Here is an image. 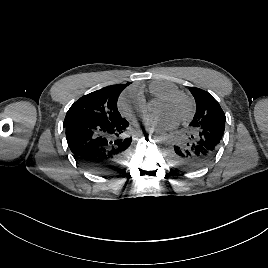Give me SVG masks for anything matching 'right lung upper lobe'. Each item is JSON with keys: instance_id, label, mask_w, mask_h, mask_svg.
<instances>
[{"instance_id": "1", "label": "right lung upper lobe", "mask_w": 268, "mask_h": 268, "mask_svg": "<svg viewBox=\"0 0 268 268\" xmlns=\"http://www.w3.org/2000/svg\"><path fill=\"white\" fill-rule=\"evenodd\" d=\"M129 84L127 83V84H124V85H122V84H117L116 86H123V87H126V86H128Z\"/></svg>"}]
</instances>
